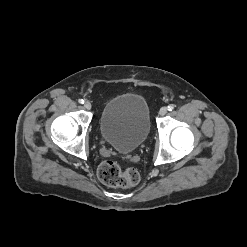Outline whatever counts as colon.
<instances>
[{"mask_svg":"<svg viewBox=\"0 0 247 247\" xmlns=\"http://www.w3.org/2000/svg\"><path fill=\"white\" fill-rule=\"evenodd\" d=\"M99 179L107 186L129 188L139 182V173L132 167L122 168L114 161H104L98 168Z\"/></svg>","mask_w":247,"mask_h":247,"instance_id":"colon-1","label":"colon"}]
</instances>
